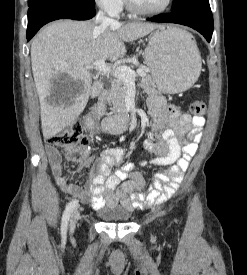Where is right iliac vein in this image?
Masks as SVG:
<instances>
[{
    "mask_svg": "<svg viewBox=\"0 0 247 275\" xmlns=\"http://www.w3.org/2000/svg\"><path fill=\"white\" fill-rule=\"evenodd\" d=\"M78 218H79V212L77 210H75L73 212V214L71 216V220H70V232H73L75 230Z\"/></svg>",
    "mask_w": 247,
    "mask_h": 275,
    "instance_id": "63e3f726",
    "label": "right iliac vein"
}]
</instances>
